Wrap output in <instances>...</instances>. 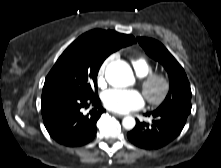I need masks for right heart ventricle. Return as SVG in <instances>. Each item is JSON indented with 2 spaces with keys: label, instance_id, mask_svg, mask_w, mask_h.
I'll use <instances>...</instances> for the list:
<instances>
[{
  "label": "right heart ventricle",
  "instance_id": "obj_1",
  "mask_svg": "<svg viewBox=\"0 0 221 168\" xmlns=\"http://www.w3.org/2000/svg\"><path fill=\"white\" fill-rule=\"evenodd\" d=\"M132 66L139 77H145L153 70L152 65L144 57H136L131 60Z\"/></svg>",
  "mask_w": 221,
  "mask_h": 168
}]
</instances>
